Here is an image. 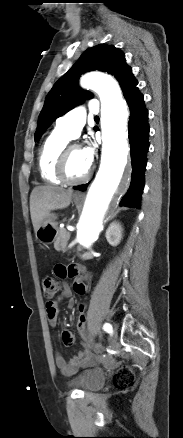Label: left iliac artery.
Instances as JSON below:
<instances>
[{
  "label": "left iliac artery",
  "instance_id": "1",
  "mask_svg": "<svg viewBox=\"0 0 183 438\" xmlns=\"http://www.w3.org/2000/svg\"><path fill=\"white\" fill-rule=\"evenodd\" d=\"M103 329H104V331H106V332H108V333H111L112 332V325L111 324H109V323H105L104 324V326H103Z\"/></svg>",
  "mask_w": 183,
  "mask_h": 438
}]
</instances>
